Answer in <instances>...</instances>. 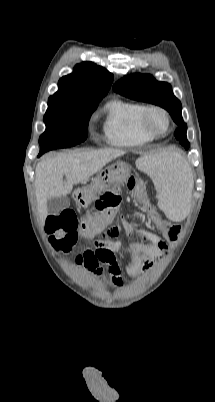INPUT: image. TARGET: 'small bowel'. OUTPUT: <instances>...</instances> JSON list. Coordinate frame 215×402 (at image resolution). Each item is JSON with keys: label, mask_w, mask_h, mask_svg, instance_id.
Here are the masks:
<instances>
[{"label": "small bowel", "mask_w": 215, "mask_h": 402, "mask_svg": "<svg viewBox=\"0 0 215 402\" xmlns=\"http://www.w3.org/2000/svg\"><path fill=\"white\" fill-rule=\"evenodd\" d=\"M120 228L128 234L134 231L124 221L121 222ZM135 231L138 236L124 243L117 239L118 228L110 229L102 239L94 241V250H85L78 257V263L96 275H102V265L106 264L111 284L119 288L122 285V277L117 255L126 258L128 272L132 278H136L168 252L167 243L156 233L143 229Z\"/></svg>", "instance_id": "c3829d8e"}]
</instances>
